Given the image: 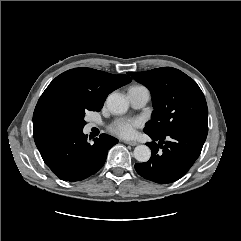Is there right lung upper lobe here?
I'll use <instances>...</instances> for the list:
<instances>
[{
	"mask_svg": "<svg viewBox=\"0 0 241 241\" xmlns=\"http://www.w3.org/2000/svg\"><path fill=\"white\" fill-rule=\"evenodd\" d=\"M125 75H113L91 68H74L57 76L41 95L33 114V130L40 116L53 107L98 111L108 94L129 83Z\"/></svg>",
	"mask_w": 241,
	"mask_h": 241,
	"instance_id": "right-lung-upper-lobe-1",
	"label": "right lung upper lobe"
}]
</instances>
